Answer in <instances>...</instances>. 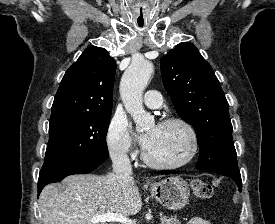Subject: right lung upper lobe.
Wrapping results in <instances>:
<instances>
[{"instance_id": "obj_1", "label": "right lung upper lobe", "mask_w": 275, "mask_h": 224, "mask_svg": "<svg viewBox=\"0 0 275 224\" xmlns=\"http://www.w3.org/2000/svg\"><path fill=\"white\" fill-rule=\"evenodd\" d=\"M115 70L116 63L104 48L85 49L66 71L51 116L112 112Z\"/></svg>"}]
</instances>
